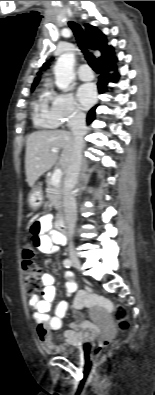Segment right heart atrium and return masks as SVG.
<instances>
[{
  "label": "right heart atrium",
  "instance_id": "right-heart-atrium-1",
  "mask_svg": "<svg viewBox=\"0 0 155 395\" xmlns=\"http://www.w3.org/2000/svg\"><path fill=\"white\" fill-rule=\"evenodd\" d=\"M50 114L55 127L76 124L83 120L84 114L72 93L61 91L51 95Z\"/></svg>",
  "mask_w": 155,
  "mask_h": 395
}]
</instances>
